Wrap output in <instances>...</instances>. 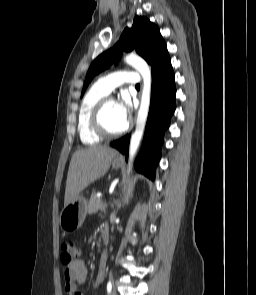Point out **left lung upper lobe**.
<instances>
[{
  "label": "left lung upper lobe",
  "mask_w": 256,
  "mask_h": 295,
  "mask_svg": "<svg viewBox=\"0 0 256 295\" xmlns=\"http://www.w3.org/2000/svg\"><path fill=\"white\" fill-rule=\"evenodd\" d=\"M142 56L152 66V73L171 64L160 31L156 25L145 17H135L131 28H125L118 43L111 49L99 55L91 64L82 91V96L93 77L107 69L113 62H117L122 51H132Z\"/></svg>",
  "instance_id": "1"
}]
</instances>
